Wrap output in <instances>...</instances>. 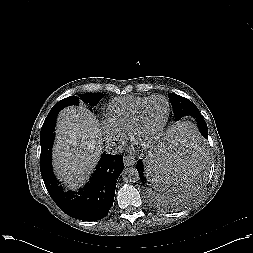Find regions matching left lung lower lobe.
Returning a JSON list of instances; mask_svg holds the SVG:
<instances>
[{
  "label": "left lung lower lobe",
  "instance_id": "obj_1",
  "mask_svg": "<svg viewBox=\"0 0 253 253\" xmlns=\"http://www.w3.org/2000/svg\"><path fill=\"white\" fill-rule=\"evenodd\" d=\"M185 151V166L174 171L169 180L158 179L154 173L145 171L143 161L138 160L136 168L153 207L160 210L176 208L193 195L201 182L207 165L203 140L197 137Z\"/></svg>",
  "mask_w": 253,
  "mask_h": 253
}]
</instances>
